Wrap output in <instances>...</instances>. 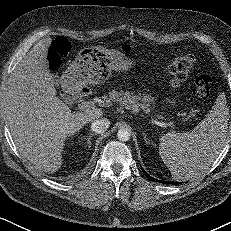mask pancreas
<instances>
[{
    "label": "pancreas",
    "instance_id": "cf45deb5",
    "mask_svg": "<svg viewBox=\"0 0 231 231\" xmlns=\"http://www.w3.org/2000/svg\"><path fill=\"white\" fill-rule=\"evenodd\" d=\"M110 100L120 103L126 109L133 110H144L148 107V104L153 101V98L149 96L134 95V93H130L128 91L123 90H112L109 92Z\"/></svg>",
    "mask_w": 231,
    "mask_h": 231
}]
</instances>
